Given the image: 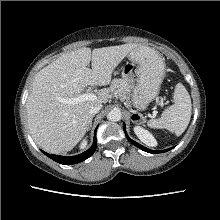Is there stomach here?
Returning <instances> with one entry per match:
<instances>
[{"instance_id":"stomach-1","label":"stomach","mask_w":220,"mask_h":220,"mask_svg":"<svg viewBox=\"0 0 220 220\" xmlns=\"http://www.w3.org/2000/svg\"><path fill=\"white\" fill-rule=\"evenodd\" d=\"M129 60L136 64L137 85L131 96L133 106L145 110L159 94L165 75V63L153 48L139 46L128 54Z\"/></svg>"}]
</instances>
